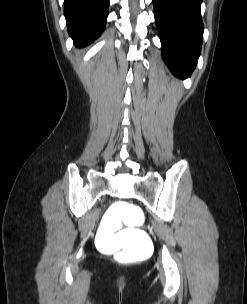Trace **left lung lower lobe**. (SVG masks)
<instances>
[{
  "mask_svg": "<svg viewBox=\"0 0 247 304\" xmlns=\"http://www.w3.org/2000/svg\"><path fill=\"white\" fill-rule=\"evenodd\" d=\"M162 45V57L171 72L189 77L202 46V0H152Z\"/></svg>",
  "mask_w": 247,
  "mask_h": 304,
  "instance_id": "left-lung-lower-lobe-1",
  "label": "left lung lower lobe"
}]
</instances>
